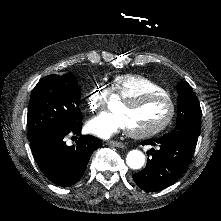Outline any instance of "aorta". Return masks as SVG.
I'll use <instances>...</instances> for the list:
<instances>
[{
	"instance_id": "762f6f07",
	"label": "aorta",
	"mask_w": 221,
	"mask_h": 221,
	"mask_svg": "<svg viewBox=\"0 0 221 221\" xmlns=\"http://www.w3.org/2000/svg\"><path fill=\"white\" fill-rule=\"evenodd\" d=\"M126 163L131 169H140L145 163V155L139 150H131L126 156Z\"/></svg>"
}]
</instances>
